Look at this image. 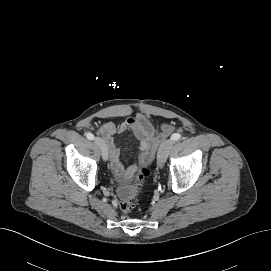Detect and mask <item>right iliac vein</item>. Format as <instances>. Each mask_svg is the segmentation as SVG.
Segmentation results:
<instances>
[{
	"mask_svg": "<svg viewBox=\"0 0 271 271\" xmlns=\"http://www.w3.org/2000/svg\"><path fill=\"white\" fill-rule=\"evenodd\" d=\"M94 142L100 148L103 160L106 161L108 159V149L104 140L100 137H96Z\"/></svg>",
	"mask_w": 271,
	"mask_h": 271,
	"instance_id": "right-iliac-vein-1",
	"label": "right iliac vein"
}]
</instances>
